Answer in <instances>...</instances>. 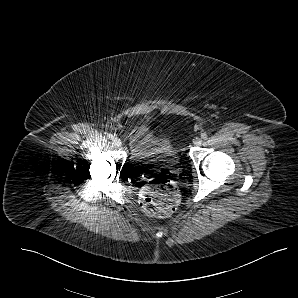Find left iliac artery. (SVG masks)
<instances>
[{
    "label": "left iliac artery",
    "mask_w": 298,
    "mask_h": 298,
    "mask_svg": "<svg viewBox=\"0 0 298 298\" xmlns=\"http://www.w3.org/2000/svg\"><path fill=\"white\" fill-rule=\"evenodd\" d=\"M207 137H208V135H207L206 133H202V134H201V138H202V139H206Z\"/></svg>",
    "instance_id": "obj_1"
}]
</instances>
